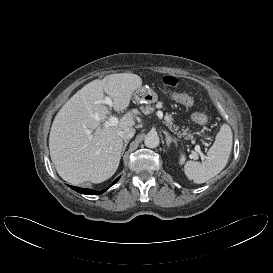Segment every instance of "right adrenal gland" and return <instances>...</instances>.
<instances>
[{
	"instance_id": "2a0ac1e0",
	"label": "right adrenal gland",
	"mask_w": 273,
	"mask_h": 273,
	"mask_svg": "<svg viewBox=\"0 0 273 273\" xmlns=\"http://www.w3.org/2000/svg\"><path fill=\"white\" fill-rule=\"evenodd\" d=\"M128 143H129V140H125V141H124L121 156H123V154H124V152H125V149H126V146H127Z\"/></svg>"
}]
</instances>
